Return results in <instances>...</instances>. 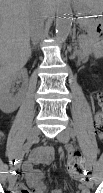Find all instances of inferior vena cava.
<instances>
[{"label":"inferior vena cava","mask_w":103,"mask_h":193,"mask_svg":"<svg viewBox=\"0 0 103 193\" xmlns=\"http://www.w3.org/2000/svg\"><path fill=\"white\" fill-rule=\"evenodd\" d=\"M29 31L33 43L36 44L43 35V21L38 13L32 14Z\"/></svg>","instance_id":"602c4592"}]
</instances>
